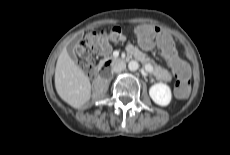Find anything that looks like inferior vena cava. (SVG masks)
<instances>
[{
	"label": "inferior vena cava",
	"mask_w": 230,
	"mask_h": 155,
	"mask_svg": "<svg viewBox=\"0 0 230 155\" xmlns=\"http://www.w3.org/2000/svg\"><path fill=\"white\" fill-rule=\"evenodd\" d=\"M126 68V64L124 61H117L113 67H112V72L114 73H118V72H121L123 71L124 69Z\"/></svg>",
	"instance_id": "1"
}]
</instances>
